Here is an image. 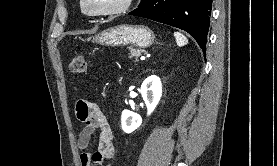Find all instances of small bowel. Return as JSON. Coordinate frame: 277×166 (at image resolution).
<instances>
[{"label":"small bowel","instance_id":"small-bowel-1","mask_svg":"<svg viewBox=\"0 0 277 166\" xmlns=\"http://www.w3.org/2000/svg\"><path fill=\"white\" fill-rule=\"evenodd\" d=\"M75 111L77 119L83 124L77 141L81 166H99L104 160L112 159L115 154L113 133L99 106L93 102L79 101ZM97 133V148L91 152L89 147Z\"/></svg>","mask_w":277,"mask_h":166}]
</instances>
